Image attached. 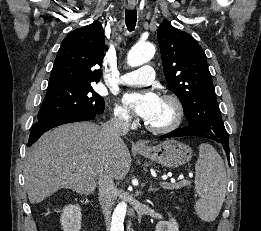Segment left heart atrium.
I'll return each instance as SVG.
<instances>
[{"mask_svg":"<svg viewBox=\"0 0 261 231\" xmlns=\"http://www.w3.org/2000/svg\"><path fill=\"white\" fill-rule=\"evenodd\" d=\"M159 102V96L152 91L130 92L124 96V103L146 121L151 118Z\"/></svg>","mask_w":261,"mask_h":231,"instance_id":"39dd6f15","label":"left heart atrium"}]
</instances>
